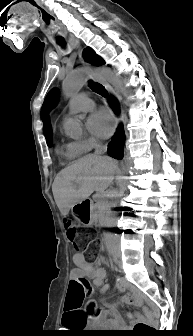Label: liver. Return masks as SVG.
I'll return each mask as SVG.
<instances>
[{"label": "liver", "mask_w": 193, "mask_h": 336, "mask_svg": "<svg viewBox=\"0 0 193 336\" xmlns=\"http://www.w3.org/2000/svg\"><path fill=\"white\" fill-rule=\"evenodd\" d=\"M116 167L110 157L88 154L59 172L52 192L62 216L65 217L73 205L86 200L94 191L103 195Z\"/></svg>", "instance_id": "1"}]
</instances>
